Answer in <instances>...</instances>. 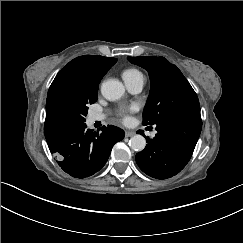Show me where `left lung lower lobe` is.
<instances>
[{
    "mask_svg": "<svg viewBox=\"0 0 243 243\" xmlns=\"http://www.w3.org/2000/svg\"><path fill=\"white\" fill-rule=\"evenodd\" d=\"M202 120L176 117L156 125L145 149L135 156L139 168L156 179L178 174L190 160L201 133Z\"/></svg>",
    "mask_w": 243,
    "mask_h": 243,
    "instance_id": "left-lung-lower-lobe-1",
    "label": "left lung lower lobe"
}]
</instances>
